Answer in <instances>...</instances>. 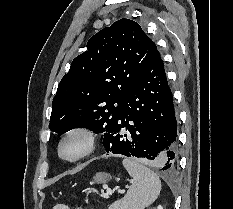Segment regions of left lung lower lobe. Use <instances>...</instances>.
I'll use <instances>...</instances> for the list:
<instances>
[{
    "mask_svg": "<svg viewBox=\"0 0 233 209\" xmlns=\"http://www.w3.org/2000/svg\"><path fill=\"white\" fill-rule=\"evenodd\" d=\"M177 122L173 97L160 53L157 52L128 93L123 113L104 134L107 153L135 156L175 167Z\"/></svg>",
    "mask_w": 233,
    "mask_h": 209,
    "instance_id": "left-lung-lower-lobe-1",
    "label": "left lung lower lobe"
}]
</instances>
